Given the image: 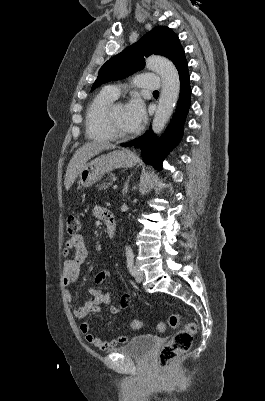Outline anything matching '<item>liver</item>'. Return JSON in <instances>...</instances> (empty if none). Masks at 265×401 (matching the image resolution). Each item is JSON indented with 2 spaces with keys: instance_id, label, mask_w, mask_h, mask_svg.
Segmentation results:
<instances>
[{
  "instance_id": "liver-1",
  "label": "liver",
  "mask_w": 265,
  "mask_h": 401,
  "mask_svg": "<svg viewBox=\"0 0 265 401\" xmlns=\"http://www.w3.org/2000/svg\"><path fill=\"white\" fill-rule=\"evenodd\" d=\"M109 148H116V146L115 144H111V142H99V140H90V142H85L83 146L77 148L66 170V176L64 180L66 190H69L70 186H72L80 170L84 168L89 158H92V156H95V154H99V152H102V150H109Z\"/></svg>"
}]
</instances>
